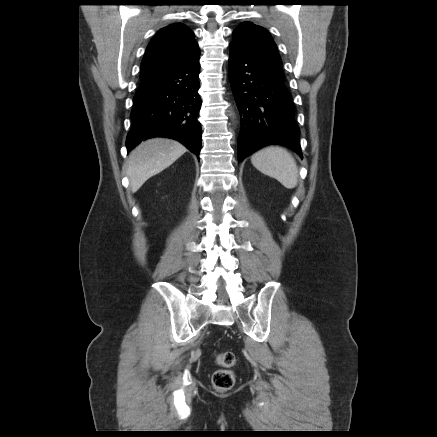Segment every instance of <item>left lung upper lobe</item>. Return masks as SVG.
I'll list each match as a JSON object with an SVG mask.
<instances>
[{
	"label": "left lung upper lobe",
	"mask_w": 437,
	"mask_h": 437,
	"mask_svg": "<svg viewBox=\"0 0 437 437\" xmlns=\"http://www.w3.org/2000/svg\"><path fill=\"white\" fill-rule=\"evenodd\" d=\"M230 43L262 64L269 72L284 80L282 61L270 33L251 22L241 23L233 32Z\"/></svg>",
	"instance_id": "5c2ea615"
}]
</instances>
